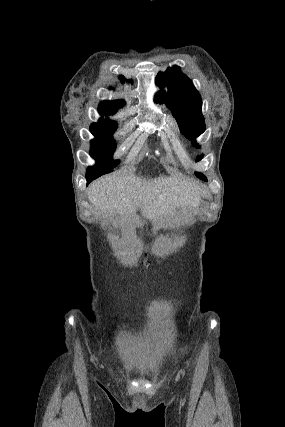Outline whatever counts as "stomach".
<instances>
[{"instance_id":"1","label":"stomach","mask_w":285,"mask_h":427,"mask_svg":"<svg viewBox=\"0 0 285 427\" xmlns=\"http://www.w3.org/2000/svg\"><path fill=\"white\" fill-rule=\"evenodd\" d=\"M202 204H203V202H202V200H200V201H199V205H202Z\"/></svg>"}]
</instances>
